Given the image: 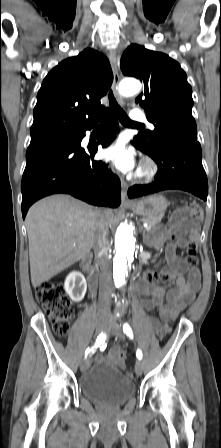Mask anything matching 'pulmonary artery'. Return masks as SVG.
<instances>
[{"label":"pulmonary artery","mask_w":221,"mask_h":448,"mask_svg":"<svg viewBox=\"0 0 221 448\" xmlns=\"http://www.w3.org/2000/svg\"><path fill=\"white\" fill-rule=\"evenodd\" d=\"M131 120L135 123L142 122L146 119L145 112L143 110H134L131 113Z\"/></svg>","instance_id":"obj_1"}]
</instances>
